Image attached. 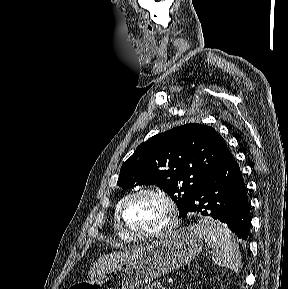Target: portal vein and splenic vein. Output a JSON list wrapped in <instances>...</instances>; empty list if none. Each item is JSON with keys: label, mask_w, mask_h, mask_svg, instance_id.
<instances>
[{"label": "portal vein and splenic vein", "mask_w": 288, "mask_h": 289, "mask_svg": "<svg viewBox=\"0 0 288 289\" xmlns=\"http://www.w3.org/2000/svg\"><path fill=\"white\" fill-rule=\"evenodd\" d=\"M156 288L157 289H166V287L164 285H162L161 283H159Z\"/></svg>", "instance_id": "portal-vein-and-splenic-vein-1"}]
</instances>
